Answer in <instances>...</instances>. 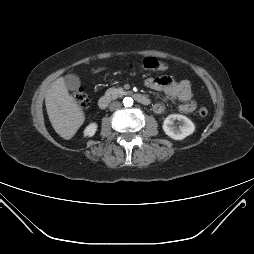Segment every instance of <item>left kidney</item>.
<instances>
[{
  "label": "left kidney",
  "mask_w": 254,
  "mask_h": 254,
  "mask_svg": "<svg viewBox=\"0 0 254 254\" xmlns=\"http://www.w3.org/2000/svg\"><path fill=\"white\" fill-rule=\"evenodd\" d=\"M175 120L179 121V126L175 125ZM163 130L172 139L182 140L194 132L195 125L184 115L171 114L164 120Z\"/></svg>",
  "instance_id": "obj_1"
}]
</instances>
